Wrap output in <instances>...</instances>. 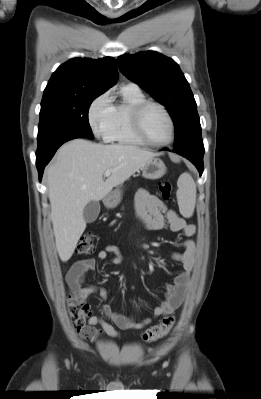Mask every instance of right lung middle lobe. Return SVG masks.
Returning <instances> with one entry per match:
<instances>
[{
  "label": "right lung middle lobe",
  "instance_id": "1",
  "mask_svg": "<svg viewBox=\"0 0 261 399\" xmlns=\"http://www.w3.org/2000/svg\"><path fill=\"white\" fill-rule=\"evenodd\" d=\"M97 97H43L38 126V141L60 130H74L89 138H94L88 121V110Z\"/></svg>",
  "mask_w": 261,
  "mask_h": 399
}]
</instances>
